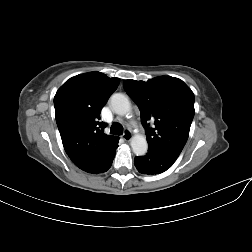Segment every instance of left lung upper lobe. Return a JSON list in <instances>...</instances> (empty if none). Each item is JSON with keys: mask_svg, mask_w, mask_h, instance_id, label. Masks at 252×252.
<instances>
[{"mask_svg": "<svg viewBox=\"0 0 252 252\" xmlns=\"http://www.w3.org/2000/svg\"><path fill=\"white\" fill-rule=\"evenodd\" d=\"M123 86L139 107L148 146L179 156L195 113L192 90L182 80L170 76L147 82L125 80Z\"/></svg>", "mask_w": 252, "mask_h": 252, "instance_id": "obj_1", "label": "left lung upper lobe"}]
</instances>
